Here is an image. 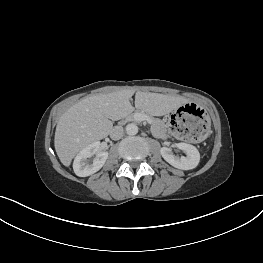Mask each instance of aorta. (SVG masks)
<instances>
[{
  "label": "aorta",
  "mask_w": 263,
  "mask_h": 263,
  "mask_svg": "<svg viewBox=\"0 0 263 263\" xmlns=\"http://www.w3.org/2000/svg\"><path fill=\"white\" fill-rule=\"evenodd\" d=\"M125 130L128 135L133 136L138 133V126L134 123H130L126 125Z\"/></svg>",
  "instance_id": "aorta-1"
}]
</instances>
